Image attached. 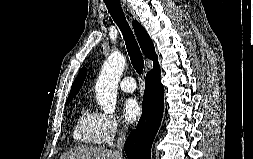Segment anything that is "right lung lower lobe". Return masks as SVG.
Segmentation results:
<instances>
[{
	"instance_id": "obj_1",
	"label": "right lung lower lobe",
	"mask_w": 253,
	"mask_h": 159,
	"mask_svg": "<svg viewBox=\"0 0 253 159\" xmlns=\"http://www.w3.org/2000/svg\"><path fill=\"white\" fill-rule=\"evenodd\" d=\"M163 97L160 69L152 70L145 79L141 118L124 145L128 159H150L151 146L162 119Z\"/></svg>"
}]
</instances>
